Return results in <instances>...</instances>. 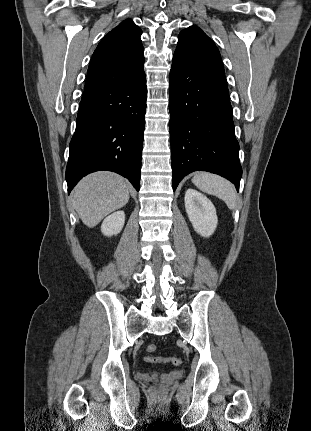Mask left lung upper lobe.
I'll use <instances>...</instances> for the list:
<instances>
[{"mask_svg":"<svg viewBox=\"0 0 311 431\" xmlns=\"http://www.w3.org/2000/svg\"><path fill=\"white\" fill-rule=\"evenodd\" d=\"M176 52L224 68L215 43L197 26H191L180 33Z\"/></svg>","mask_w":311,"mask_h":431,"instance_id":"obj_1","label":"left lung upper lobe"}]
</instances>
